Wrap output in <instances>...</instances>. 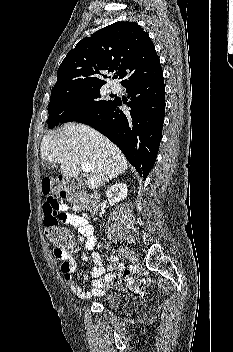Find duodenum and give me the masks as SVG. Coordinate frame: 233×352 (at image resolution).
Wrapping results in <instances>:
<instances>
[{
	"label": "duodenum",
	"mask_w": 233,
	"mask_h": 352,
	"mask_svg": "<svg viewBox=\"0 0 233 352\" xmlns=\"http://www.w3.org/2000/svg\"><path fill=\"white\" fill-rule=\"evenodd\" d=\"M97 200H98L97 194L96 193L91 194V196H90L91 204L92 205H96L97 204Z\"/></svg>",
	"instance_id": "obj_1"
}]
</instances>
